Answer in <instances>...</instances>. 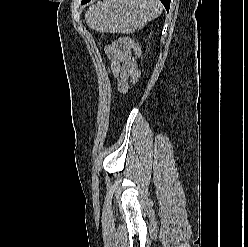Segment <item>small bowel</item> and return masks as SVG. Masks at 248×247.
Segmentation results:
<instances>
[{
    "mask_svg": "<svg viewBox=\"0 0 248 247\" xmlns=\"http://www.w3.org/2000/svg\"><path fill=\"white\" fill-rule=\"evenodd\" d=\"M111 62V69L117 78L118 90L125 94L129 88V81L135 83L139 77L137 61L132 54L131 47L122 41H116L105 48Z\"/></svg>",
    "mask_w": 248,
    "mask_h": 247,
    "instance_id": "c3829d8e",
    "label": "small bowel"
}]
</instances>
